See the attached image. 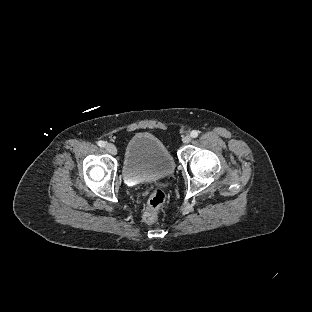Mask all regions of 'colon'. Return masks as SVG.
Listing matches in <instances>:
<instances>
[{
  "label": "colon",
  "instance_id": "1",
  "mask_svg": "<svg viewBox=\"0 0 312 312\" xmlns=\"http://www.w3.org/2000/svg\"><path fill=\"white\" fill-rule=\"evenodd\" d=\"M167 198L166 193L160 188H156L150 195L143 212V219L147 224H154L158 220V209Z\"/></svg>",
  "mask_w": 312,
  "mask_h": 312
}]
</instances>
